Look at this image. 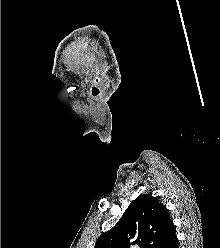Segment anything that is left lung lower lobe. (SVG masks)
Instances as JSON below:
<instances>
[{
    "label": "left lung lower lobe",
    "instance_id": "obj_1",
    "mask_svg": "<svg viewBox=\"0 0 220 248\" xmlns=\"http://www.w3.org/2000/svg\"><path fill=\"white\" fill-rule=\"evenodd\" d=\"M178 240L176 237V230L175 227H173L170 230V233L166 240L163 242V244L160 246V248H178Z\"/></svg>",
    "mask_w": 220,
    "mask_h": 248
}]
</instances>
